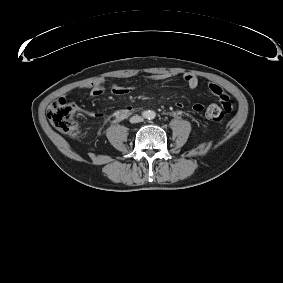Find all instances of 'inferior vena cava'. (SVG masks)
Returning <instances> with one entry per match:
<instances>
[{
    "label": "inferior vena cava",
    "mask_w": 283,
    "mask_h": 283,
    "mask_svg": "<svg viewBox=\"0 0 283 283\" xmlns=\"http://www.w3.org/2000/svg\"><path fill=\"white\" fill-rule=\"evenodd\" d=\"M142 120H143V118L141 116L136 115V116L131 117L130 121L132 123H137V122H141Z\"/></svg>",
    "instance_id": "inferior-vena-cava-1"
}]
</instances>
